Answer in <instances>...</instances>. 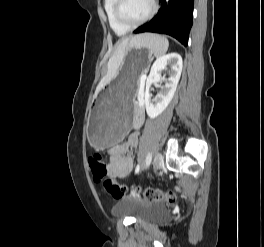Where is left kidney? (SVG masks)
I'll list each match as a JSON object with an SVG mask.
<instances>
[{
  "label": "left kidney",
  "instance_id": "5707ae66",
  "mask_svg": "<svg viewBox=\"0 0 264 247\" xmlns=\"http://www.w3.org/2000/svg\"><path fill=\"white\" fill-rule=\"evenodd\" d=\"M182 65V57L178 53L163 55L153 63L146 80L144 95L146 112L150 118L154 119L159 116L171 102L181 76ZM163 71L168 72L169 77L167 79L162 78L161 73ZM162 80H166L165 85L161 88L155 100L151 101V85L155 82L159 83Z\"/></svg>",
  "mask_w": 264,
  "mask_h": 247
}]
</instances>
